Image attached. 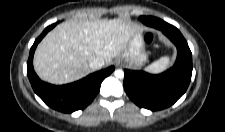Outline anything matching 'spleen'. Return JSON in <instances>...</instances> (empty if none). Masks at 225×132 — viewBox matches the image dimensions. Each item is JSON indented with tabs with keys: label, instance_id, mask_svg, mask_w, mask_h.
Wrapping results in <instances>:
<instances>
[{
	"label": "spleen",
	"instance_id": "obj_1",
	"mask_svg": "<svg viewBox=\"0 0 225 132\" xmlns=\"http://www.w3.org/2000/svg\"><path fill=\"white\" fill-rule=\"evenodd\" d=\"M171 65V59L169 57H162L159 60L153 62L146 68L147 72L158 74L165 71Z\"/></svg>",
	"mask_w": 225,
	"mask_h": 132
}]
</instances>
